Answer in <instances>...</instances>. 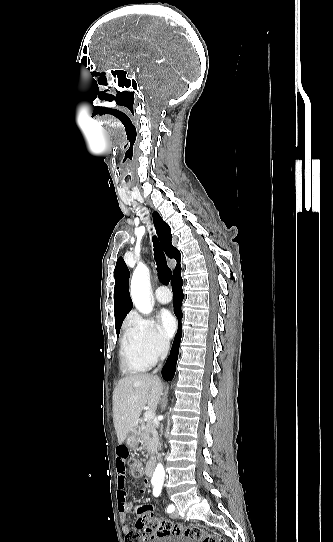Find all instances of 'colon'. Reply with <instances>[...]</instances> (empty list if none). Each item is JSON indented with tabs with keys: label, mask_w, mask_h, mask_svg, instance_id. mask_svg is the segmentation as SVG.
<instances>
[{
	"label": "colon",
	"mask_w": 333,
	"mask_h": 542,
	"mask_svg": "<svg viewBox=\"0 0 333 542\" xmlns=\"http://www.w3.org/2000/svg\"><path fill=\"white\" fill-rule=\"evenodd\" d=\"M131 473L139 478L146 473V466L135 459H130ZM153 507L151 501L146 500L139 506L133 508L135 513L136 527L141 528L145 535H151L152 538H166L168 536L181 537L192 542H231L229 536H218L206 532L199 526H188L182 523H174L170 520L160 519L150 511ZM127 542H143L145 539H139L137 531H130L127 536Z\"/></svg>",
	"instance_id": "obj_1"
}]
</instances>
